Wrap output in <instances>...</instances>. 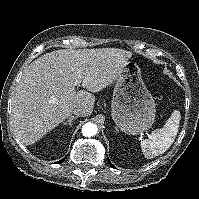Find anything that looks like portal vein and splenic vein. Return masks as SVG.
I'll return each instance as SVG.
<instances>
[{
	"mask_svg": "<svg viewBox=\"0 0 199 199\" xmlns=\"http://www.w3.org/2000/svg\"><path fill=\"white\" fill-rule=\"evenodd\" d=\"M75 85H76V86H79V85H80V82L76 80Z\"/></svg>",
	"mask_w": 199,
	"mask_h": 199,
	"instance_id": "18ae733b",
	"label": "portal vein and splenic vein"
}]
</instances>
